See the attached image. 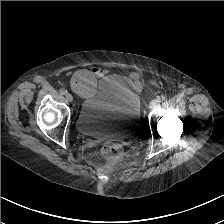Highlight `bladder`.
<instances>
[{
    "instance_id": "31cf9c89",
    "label": "bladder",
    "mask_w": 224,
    "mask_h": 224,
    "mask_svg": "<svg viewBox=\"0 0 224 224\" xmlns=\"http://www.w3.org/2000/svg\"><path fill=\"white\" fill-rule=\"evenodd\" d=\"M139 125V100L115 75L99 81L76 117L77 130L97 139L127 140L136 135Z\"/></svg>"
}]
</instances>
